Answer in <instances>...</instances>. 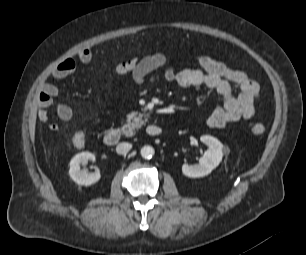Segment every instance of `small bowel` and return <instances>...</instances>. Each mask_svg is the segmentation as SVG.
<instances>
[{"label": "small bowel", "mask_w": 306, "mask_h": 255, "mask_svg": "<svg viewBox=\"0 0 306 255\" xmlns=\"http://www.w3.org/2000/svg\"><path fill=\"white\" fill-rule=\"evenodd\" d=\"M77 59L82 63H88L92 59V52L89 49H82L77 53ZM198 69H176L167 64V58L163 53L157 52L137 60L130 71L131 77L137 84L175 83L180 87H206L214 90L222 101L218 104L207 118V125L210 128H223L226 125L238 122L242 119H250L255 114V103L260 95L259 84L251 79L245 72L228 67L223 62L215 60L208 55L198 57ZM75 69V60L67 58L57 65L51 72L53 80L63 79L70 75ZM163 69L161 74L156 71ZM239 90L234 95L232 87ZM58 89L55 84L45 81L40 86L38 95V118L42 122H48V108L53 104ZM58 117L65 122L72 119V109L60 104L57 107ZM51 131H58L56 123H49Z\"/></svg>", "instance_id": "1"}]
</instances>
